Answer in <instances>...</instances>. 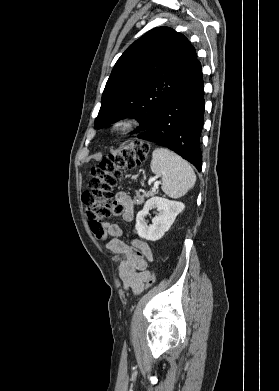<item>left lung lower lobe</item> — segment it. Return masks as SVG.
<instances>
[{"mask_svg":"<svg viewBox=\"0 0 279 391\" xmlns=\"http://www.w3.org/2000/svg\"><path fill=\"white\" fill-rule=\"evenodd\" d=\"M204 86L201 64L165 104L154 123L138 138L163 145L202 169L200 136L204 122Z\"/></svg>","mask_w":279,"mask_h":391,"instance_id":"0a47b994","label":"left lung lower lobe"}]
</instances>
